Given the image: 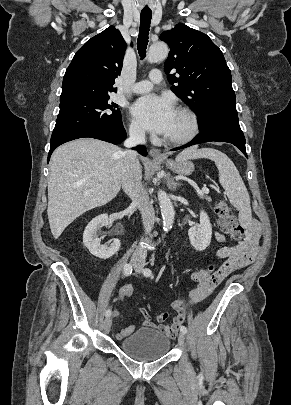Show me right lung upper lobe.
I'll list each match as a JSON object with an SVG mask.
<instances>
[{
  "label": "right lung upper lobe",
  "mask_w": 291,
  "mask_h": 405,
  "mask_svg": "<svg viewBox=\"0 0 291 405\" xmlns=\"http://www.w3.org/2000/svg\"><path fill=\"white\" fill-rule=\"evenodd\" d=\"M125 49L126 42L114 26L92 37L76 52L67 68L60 101L116 92L113 84L120 75Z\"/></svg>",
  "instance_id": "cb5924a9"
}]
</instances>
